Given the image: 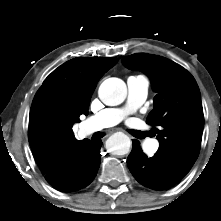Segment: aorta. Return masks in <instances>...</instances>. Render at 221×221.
I'll return each mask as SVG.
<instances>
[{"mask_svg": "<svg viewBox=\"0 0 221 221\" xmlns=\"http://www.w3.org/2000/svg\"><path fill=\"white\" fill-rule=\"evenodd\" d=\"M99 98L109 106L121 104L127 95L126 84L119 78H108L99 87ZM131 141L122 132L115 133L107 140V148L116 155H125L129 152Z\"/></svg>", "mask_w": 221, "mask_h": 221, "instance_id": "762f6f07", "label": "aorta"}]
</instances>
